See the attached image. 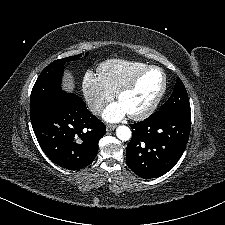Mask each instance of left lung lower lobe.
Segmentation results:
<instances>
[{
	"instance_id": "0a47b994",
	"label": "left lung lower lobe",
	"mask_w": 225,
	"mask_h": 225,
	"mask_svg": "<svg viewBox=\"0 0 225 225\" xmlns=\"http://www.w3.org/2000/svg\"><path fill=\"white\" fill-rule=\"evenodd\" d=\"M130 127L132 139L126 149L129 168L143 179L156 178L181 158L191 130V113L155 112Z\"/></svg>"
}]
</instances>
